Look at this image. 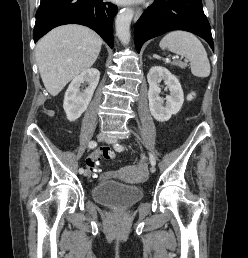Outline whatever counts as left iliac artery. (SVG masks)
Instances as JSON below:
<instances>
[{
    "label": "left iliac artery",
    "instance_id": "1",
    "mask_svg": "<svg viewBox=\"0 0 248 258\" xmlns=\"http://www.w3.org/2000/svg\"><path fill=\"white\" fill-rule=\"evenodd\" d=\"M114 149H115L116 151H118V152H121V151L124 150V147H123L122 145L116 143V144L114 145ZM149 159H150L151 165H152V166H155L156 161H155V158H154V156H153L152 154L149 155Z\"/></svg>",
    "mask_w": 248,
    "mask_h": 258
}]
</instances>
